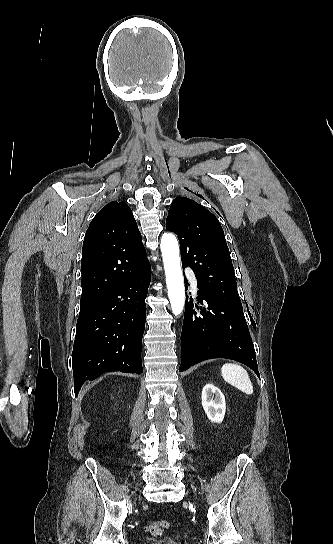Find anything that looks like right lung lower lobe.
Returning <instances> with one entry per match:
<instances>
[{"label": "right lung lower lobe", "mask_w": 333, "mask_h": 544, "mask_svg": "<svg viewBox=\"0 0 333 544\" xmlns=\"http://www.w3.org/2000/svg\"><path fill=\"white\" fill-rule=\"evenodd\" d=\"M150 264L80 307L72 352L74 390L108 371L141 374Z\"/></svg>", "instance_id": "1"}]
</instances>
